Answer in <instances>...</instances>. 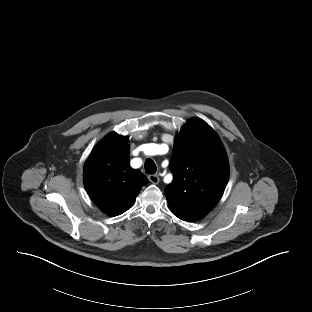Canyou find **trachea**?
<instances>
[{"label":"trachea","instance_id":"obj_1","mask_svg":"<svg viewBox=\"0 0 312 312\" xmlns=\"http://www.w3.org/2000/svg\"><path fill=\"white\" fill-rule=\"evenodd\" d=\"M157 170V167L152 159H147L145 161V172L147 174H154Z\"/></svg>","mask_w":312,"mask_h":312}]
</instances>
